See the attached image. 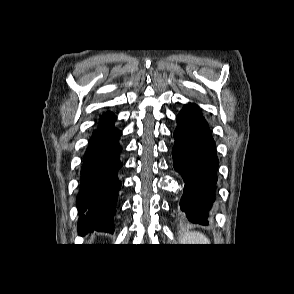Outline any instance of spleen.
I'll return each mask as SVG.
<instances>
[{"mask_svg": "<svg viewBox=\"0 0 294 294\" xmlns=\"http://www.w3.org/2000/svg\"><path fill=\"white\" fill-rule=\"evenodd\" d=\"M182 244H210L209 239L200 232H187L181 236Z\"/></svg>", "mask_w": 294, "mask_h": 294, "instance_id": "spleen-1", "label": "spleen"}]
</instances>
